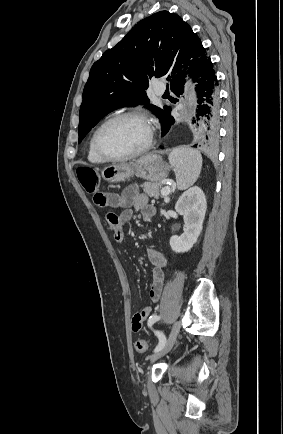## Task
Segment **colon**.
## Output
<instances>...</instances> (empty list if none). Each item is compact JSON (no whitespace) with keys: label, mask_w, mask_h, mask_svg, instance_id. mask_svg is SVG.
Masks as SVG:
<instances>
[{"label":"colon","mask_w":283,"mask_h":434,"mask_svg":"<svg viewBox=\"0 0 283 434\" xmlns=\"http://www.w3.org/2000/svg\"><path fill=\"white\" fill-rule=\"evenodd\" d=\"M77 177L82 187L89 193H93L98 188V173L89 167H82L77 170ZM135 350L139 353L148 351V344L145 339H138L134 344Z\"/></svg>","instance_id":"obj_1"}]
</instances>
